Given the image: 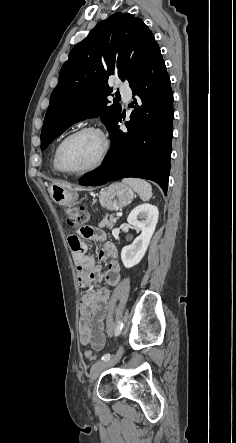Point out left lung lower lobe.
Segmentation results:
<instances>
[{
  "label": "left lung lower lobe",
  "instance_id": "0a47b994",
  "mask_svg": "<svg viewBox=\"0 0 236 443\" xmlns=\"http://www.w3.org/2000/svg\"><path fill=\"white\" fill-rule=\"evenodd\" d=\"M134 99L127 132L122 115L109 130L112 145L103 165L86 173L82 186H98L124 177L155 181L166 194L170 171L173 112L171 82L160 48L155 45L138 77L130 83ZM138 102L141 105H138Z\"/></svg>",
  "mask_w": 236,
  "mask_h": 443
}]
</instances>
